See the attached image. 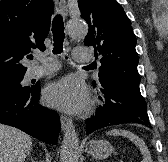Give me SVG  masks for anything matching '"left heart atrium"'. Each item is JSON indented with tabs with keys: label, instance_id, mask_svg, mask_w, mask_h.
Segmentation results:
<instances>
[{
	"label": "left heart atrium",
	"instance_id": "1",
	"mask_svg": "<svg viewBox=\"0 0 168 162\" xmlns=\"http://www.w3.org/2000/svg\"><path fill=\"white\" fill-rule=\"evenodd\" d=\"M44 97L50 106L73 113L83 110L89 101L85 85L74 76L65 77L49 85Z\"/></svg>",
	"mask_w": 168,
	"mask_h": 162
}]
</instances>
